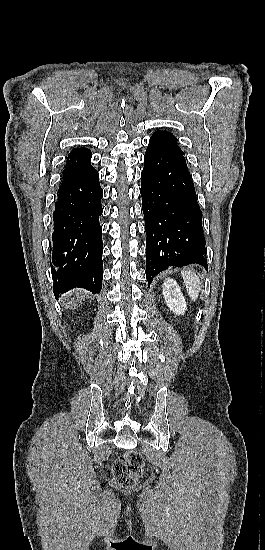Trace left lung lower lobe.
I'll list each match as a JSON object with an SVG mask.
<instances>
[{"instance_id":"0a47b994","label":"left lung lower lobe","mask_w":265,"mask_h":550,"mask_svg":"<svg viewBox=\"0 0 265 550\" xmlns=\"http://www.w3.org/2000/svg\"><path fill=\"white\" fill-rule=\"evenodd\" d=\"M141 174L148 285L160 272L189 264L208 269L202 214L184 154L149 141Z\"/></svg>"}]
</instances>
